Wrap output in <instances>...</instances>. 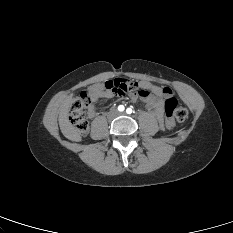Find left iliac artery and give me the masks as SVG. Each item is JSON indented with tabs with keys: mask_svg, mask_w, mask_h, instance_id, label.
<instances>
[{
	"mask_svg": "<svg viewBox=\"0 0 233 233\" xmlns=\"http://www.w3.org/2000/svg\"><path fill=\"white\" fill-rule=\"evenodd\" d=\"M126 113H127V114H131V113H132V109H131V108H127V109H126Z\"/></svg>",
	"mask_w": 233,
	"mask_h": 233,
	"instance_id": "44dca946",
	"label": "left iliac artery"
}]
</instances>
